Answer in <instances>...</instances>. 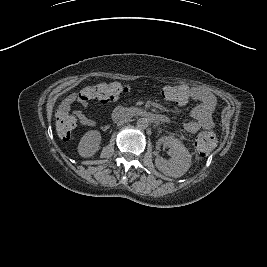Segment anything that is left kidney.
Here are the masks:
<instances>
[{
  "label": "left kidney",
  "instance_id": "5707ae66",
  "mask_svg": "<svg viewBox=\"0 0 267 267\" xmlns=\"http://www.w3.org/2000/svg\"><path fill=\"white\" fill-rule=\"evenodd\" d=\"M161 145L169 148L168 153L171 158L166 160L162 157H156V168L169 177L179 178L183 176L192 164V158L188 149L180 140L172 136H163L159 138L157 147Z\"/></svg>",
  "mask_w": 267,
  "mask_h": 267
}]
</instances>
